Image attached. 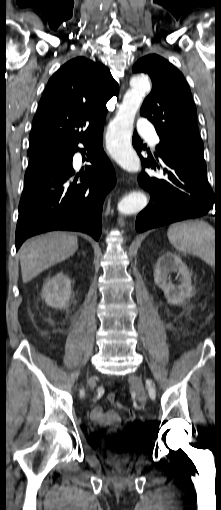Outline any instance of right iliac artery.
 <instances>
[{
	"label": "right iliac artery",
	"mask_w": 221,
	"mask_h": 510,
	"mask_svg": "<svg viewBox=\"0 0 221 510\" xmlns=\"http://www.w3.org/2000/svg\"><path fill=\"white\" fill-rule=\"evenodd\" d=\"M83 394H84V392H83V391H81V395H83Z\"/></svg>",
	"instance_id": "82829eb1"
}]
</instances>
